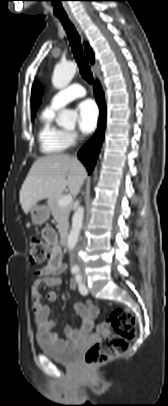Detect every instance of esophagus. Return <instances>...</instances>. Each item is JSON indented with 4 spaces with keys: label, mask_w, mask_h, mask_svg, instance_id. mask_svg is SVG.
Returning a JSON list of instances; mask_svg holds the SVG:
<instances>
[{
    "label": "esophagus",
    "mask_w": 168,
    "mask_h": 406,
    "mask_svg": "<svg viewBox=\"0 0 168 406\" xmlns=\"http://www.w3.org/2000/svg\"><path fill=\"white\" fill-rule=\"evenodd\" d=\"M71 22L73 23V25L75 26V28L77 29L78 33L80 34V36L83 40V33H82V29H81L79 23L74 18H71Z\"/></svg>",
    "instance_id": "esophagus-1"
}]
</instances>
